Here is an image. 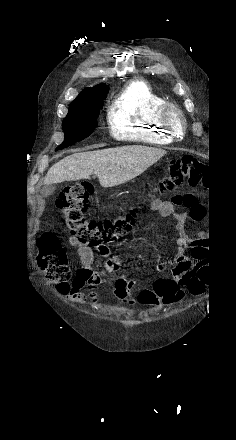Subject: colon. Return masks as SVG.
Instances as JSON below:
<instances>
[{
    "mask_svg": "<svg viewBox=\"0 0 236 440\" xmlns=\"http://www.w3.org/2000/svg\"><path fill=\"white\" fill-rule=\"evenodd\" d=\"M207 173L203 163L190 155L173 159L165 174L153 191L147 194L152 199L155 193L169 191L183 183L191 187L205 184ZM92 186L80 183L67 187L57 199V207L63 212V224L69 235L82 244L97 248L115 243L126 235L133 227L142 203L137 202L130 210L116 219L104 218L97 220L85 216L88 209ZM39 268L45 273L48 281L54 283L62 293L70 289L68 277L69 267L58 236L52 232L44 233L40 238ZM205 289V280L193 279L188 285L192 295H199ZM159 297L164 304H172L181 300L184 292L170 279L158 280L153 290H145L141 294L142 302H149Z\"/></svg>",
    "mask_w": 236,
    "mask_h": 440,
    "instance_id": "1",
    "label": "colon"
}]
</instances>
